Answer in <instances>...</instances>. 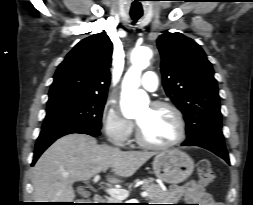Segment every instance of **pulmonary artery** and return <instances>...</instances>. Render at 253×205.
<instances>
[{
  "mask_svg": "<svg viewBox=\"0 0 253 205\" xmlns=\"http://www.w3.org/2000/svg\"><path fill=\"white\" fill-rule=\"evenodd\" d=\"M141 85L148 91H155L158 88V77L155 72L147 71L144 73Z\"/></svg>",
  "mask_w": 253,
  "mask_h": 205,
  "instance_id": "pulmonary-artery-1",
  "label": "pulmonary artery"
}]
</instances>
